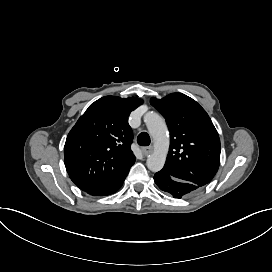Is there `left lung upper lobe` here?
Here are the masks:
<instances>
[{"instance_id": "obj_1", "label": "left lung upper lobe", "mask_w": 272, "mask_h": 272, "mask_svg": "<svg viewBox=\"0 0 272 272\" xmlns=\"http://www.w3.org/2000/svg\"><path fill=\"white\" fill-rule=\"evenodd\" d=\"M154 106L166 119L170 147L162 171L202 187L216 174L220 163V139L206 111L192 98L172 93Z\"/></svg>"}]
</instances>
